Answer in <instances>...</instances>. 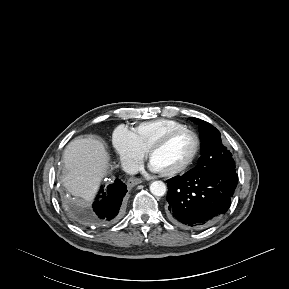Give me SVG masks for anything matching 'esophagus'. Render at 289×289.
<instances>
[{"instance_id":"obj_1","label":"esophagus","mask_w":289,"mask_h":289,"mask_svg":"<svg viewBox=\"0 0 289 289\" xmlns=\"http://www.w3.org/2000/svg\"><path fill=\"white\" fill-rule=\"evenodd\" d=\"M142 182H143L142 179L132 177V178H130V179L128 180V186H129V187H134V186H136L137 184H140V183H142Z\"/></svg>"}]
</instances>
